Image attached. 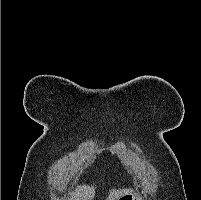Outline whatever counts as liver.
<instances>
[{
	"label": "liver",
	"instance_id": "obj_1",
	"mask_svg": "<svg viewBox=\"0 0 201 200\" xmlns=\"http://www.w3.org/2000/svg\"><path fill=\"white\" fill-rule=\"evenodd\" d=\"M130 189H111L106 200H118L120 197L130 193ZM95 196L94 186L82 185L76 188L73 194L74 200H93Z\"/></svg>",
	"mask_w": 201,
	"mask_h": 200
}]
</instances>
